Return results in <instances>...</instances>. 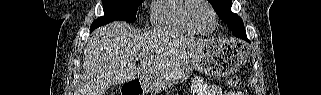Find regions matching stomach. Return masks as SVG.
Wrapping results in <instances>:
<instances>
[{
	"label": "stomach",
	"mask_w": 321,
	"mask_h": 95,
	"mask_svg": "<svg viewBox=\"0 0 321 95\" xmlns=\"http://www.w3.org/2000/svg\"><path fill=\"white\" fill-rule=\"evenodd\" d=\"M245 59L246 51L236 42L208 41L188 58L146 78L142 88L145 92L166 89L171 84L187 80L194 69L210 76L224 77L236 72Z\"/></svg>",
	"instance_id": "stomach-1"
}]
</instances>
